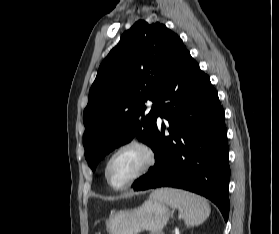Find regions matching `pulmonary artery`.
<instances>
[{
  "label": "pulmonary artery",
  "mask_w": 279,
  "mask_h": 234,
  "mask_svg": "<svg viewBox=\"0 0 279 234\" xmlns=\"http://www.w3.org/2000/svg\"><path fill=\"white\" fill-rule=\"evenodd\" d=\"M149 105H150V106H152L153 104H152V103H150Z\"/></svg>",
  "instance_id": "pulmonary-artery-1"
}]
</instances>
